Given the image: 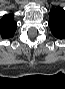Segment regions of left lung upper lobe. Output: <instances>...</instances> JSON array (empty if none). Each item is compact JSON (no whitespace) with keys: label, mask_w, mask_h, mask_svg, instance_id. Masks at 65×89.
I'll return each mask as SVG.
<instances>
[{"label":"left lung upper lobe","mask_w":65,"mask_h":89,"mask_svg":"<svg viewBox=\"0 0 65 89\" xmlns=\"http://www.w3.org/2000/svg\"><path fill=\"white\" fill-rule=\"evenodd\" d=\"M49 27L53 35L58 39L65 38V11L56 7L50 11Z\"/></svg>","instance_id":"obj_1"}]
</instances>
